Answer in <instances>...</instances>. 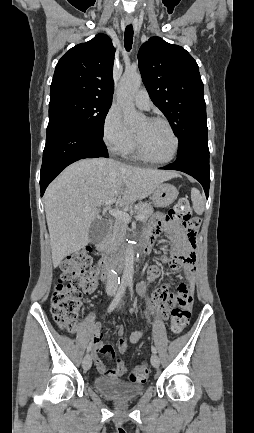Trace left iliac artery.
Listing matches in <instances>:
<instances>
[{"label":"left iliac artery","mask_w":254,"mask_h":433,"mask_svg":"<svg viewBox=\"0 0 254 433\" xmlns=\"http://www.w3.org/2000/svg\"><path fill=\"white\" fill-rule=\"evenodd\" d=\"M129 286H130V292L133 295L132 283H129ZM151 350L153 353H155V354L157 353V350H156L155 346H153V345L151 346Z\"/></svg>","instance_id":"44dca946"}]
</instances>
